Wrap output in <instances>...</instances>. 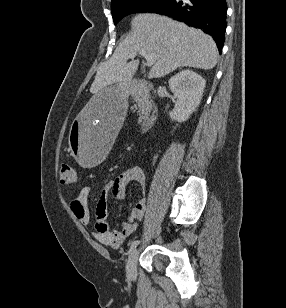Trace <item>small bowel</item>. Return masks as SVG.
<instances>
[{"label": "small bowel", "mask_w": 286, "mask_h": 308, "mask_svg": "<svg viewBox=\"0 0 286 308\" xmlns=\"http://www.w3.org/2000/svg\"><path fill=\"white\" fill-rule=\"evenodd\" d=\"M130 133V131L127 132L128 135ZM130 182H135L144 189L146 182L145 174L140 166L132 165L128 167L106 183L101 190L96 207L98 221L95 225L94 237L104 245L113 248L121 247L125 239L137 230V221L142 220L144 217L146 203L144 199H141L133 208L129 220L123 223L121 230H110L105 223L108 196L110 195L114 200H122L125 197L126 187ZM89 194L90 189L82 187L70 203L72 212L83 225H89L91 222L88 207Z\"/></svg>", "instance_id": "small-bowel-1"}]
</instances>
